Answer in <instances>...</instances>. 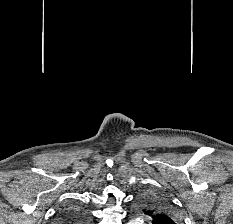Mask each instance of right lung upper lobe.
<instances>
[{"label": "right lung upper lobe", "instance_id": "right-lung-upper-lobe-1", "mask_svg": "<svg viewBox=\"0 0 233 224\" xmlns=\"http://www.w3.org/2000/svg\"><path fill=\"white\" fill-rule=\"evenodd\" d=\"M86 215L77 209H67L61 213L58 219L60 224H87Z\"/></svg>", "mask_w": 233, "mask_h": 224}]
</instances>
